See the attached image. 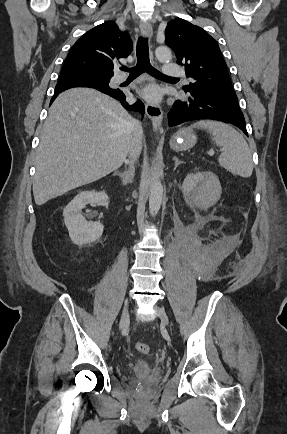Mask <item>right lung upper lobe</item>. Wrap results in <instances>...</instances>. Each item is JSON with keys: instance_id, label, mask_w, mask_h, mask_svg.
I'll use <instances>...</instances> for the list:
<instances>
[{"instance_id": "obj_1", "label": "right lung upper lobe", "mask_w": 287, "mask_h": 434, "mask_svg": "<svg viewBox=\"0 0 287 434\" xmlns=\"http://www.w3.org/2000/svg\"><path fill=\"white\" fill-rule=\"evenodd\" d=\"M132 51V41L113 21H106L85 33L71 48L63 72L82 71L113 76L117 62ZM61 71V72H62ZM57 85H88L81 81H58Z\"/></svg>"}]
</instances>
